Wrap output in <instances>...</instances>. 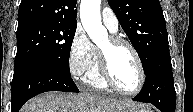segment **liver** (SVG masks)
<instances>
[{
    "label": "liver",
    "instance_id": "liver-1",
    "mask_svg": "<svg viewBox=\"0 0 193 112\" xmlns=\"http://www.w3.org/2000/svg\"><path fill=\"white\" fill-rule=\"evenodd\" d=\"M138 105L141 104L131 100L51 91L29 100L20 112H123Z\"/></svg>",
    "mask_w": 193,
    "mask_h": 112
}]
</instances>
